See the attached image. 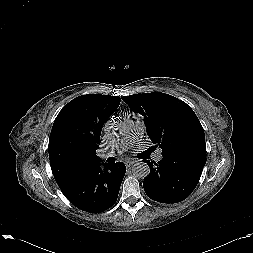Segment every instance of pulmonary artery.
<instances>
[{"label":"pulmonary artery","instance_id":"1","mask_svg":"<svg viewBox=\"0 0 253 253\" xmlns=\"http://www.w3.org/2000/svg\"><path fill=\"white\" fill-rule=\"evenodd\" d=\"M126 133L124 137L112 144L109 148L102 151L100 157L106 159L108 157H113L126 151L134 143L138 142L143 135V123L138 116H127L125 118ZM157 161L163 159L162 150H157L155 155Z\"/></svg>","mask_w":253,"mask_h":253}]
</instances>
